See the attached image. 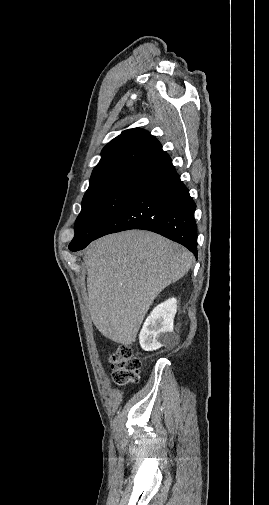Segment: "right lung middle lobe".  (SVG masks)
<instances>
[{"instance_id":"dd1d6c3e","label":"right lung middle lobe","mask_w":269,"mask_h":505,"mask_svg":"<svg viewBox=\"0 0 269 505\" xmlns=\"http://www.w3.org/2000/svg\"><path fill=\"white\" fill-rule=\"evenodd\" d=\"M137 189L123 185L88 189L83 197L82 210L75 222V236L69 244V250H80L94 240Z\"/></svg>"}]
</instances>
